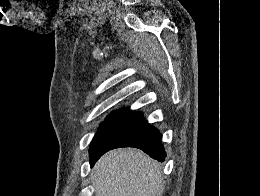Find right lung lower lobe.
I'll list each match as a JSON object with an SVG mask.
<instances>
[{
	"label": "right lung lower lobe",
	"mask_w": 260,
	"mask_h": 196,
	"mask_svg": "<svg viewBox=\"0 0 260 196\" xmlns=\"http://www.w3.org/2000/svg\"><path fill=\"white\" fill-rule=\"evenodd\" d=\"M160 138L161 134L159 133V131L153 126L148 125L141 131L130 136L128 139H126L125 141L113 148L102 151H90L91 165H93L97 161V159L107 151L120 147L139 148L143 150L145 153L149 154L150 157L157 159L160 162H163L166 157V153L162 143L160 142Z\"/></svg>",
	"instance_id": "98d812e1"
}]
</instances>
